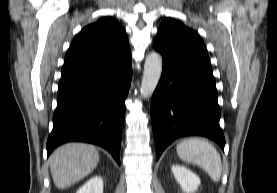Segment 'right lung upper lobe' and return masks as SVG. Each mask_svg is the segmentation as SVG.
I'll return each mask as SVG.
<instances>
[{"label":"right lung upper lobe","instance_id":"obj_1","mask_svg":"<svg viewBox=\"0 0 277 193\" xmlns=\"http://www.w3.org/2000/svg\"><path fill=\"white\" fill-rule=\"evenodd\" d=\"M131 54L125 30L112 17H102L83 28L73 39L61 78L108 67Z\"/></svg>","mask_w":277,"mask_h":193}]
</instances>
